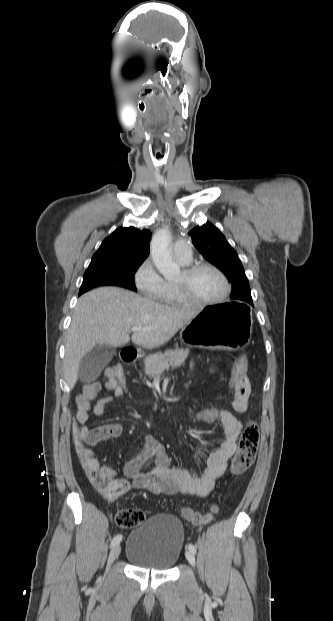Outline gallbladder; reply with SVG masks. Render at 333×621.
Segmentation results:
<instances>
[{
  "label": "gallbladder",
  "mask_w": 333,
  "mask_h": 621,
  "mask_svg": "<svg viewBox=\"0 0 333 621\" xmlns=\"http://www.w3.org/2000/svg\"><path fill=\"white\" fill-rule=\"evenodd\" d=\"M116 354V348L108 345H97L88 352L79 365V379L82 382L94 381L103 368L111 361Z\"/></svg>",
  "instance_id": "obj_1"
}]
</instances>
